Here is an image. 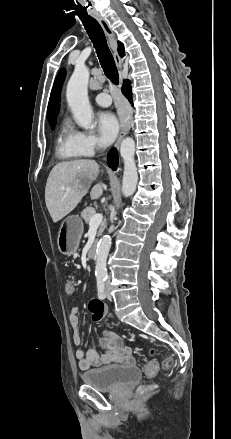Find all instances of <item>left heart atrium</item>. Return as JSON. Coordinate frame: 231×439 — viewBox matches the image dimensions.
Listing matches in <instances>:
<instances>
[{"label": "left heart atrium", "mask_w": 231, "mask_h": 439, "mask_svg": "<svg viewBox=\"0 0 231 439\" xmlns=\"http://www.w3.org/2000/svg\"><path fill=\"white\" fill-rule=\"evenodd\" d=\"M97 126L101 139L105 144H110L114 141L120 127L118 119L110 112L102 113L98 117Z\"/></svg>", "instance_id": "obj_1"}]
</instances>
